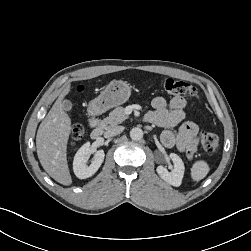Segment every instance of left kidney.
<instances>
[{"label":"left kidney","mask_w":251,"mask_h":251,"mask_svg":"<svg viewBox=\"0 0 251 251\" xmlns=\"http://www.w3.org/2000/svg\"><path fill=\"white\" fill-rule=\"evenodd\" d=\"M170 158L174 164V168L171 172H169L161 165L157 167L156 171L165 182L169 183L172 186L179 187L182 183L184 175V163L182 159L175 153H171Z\"/></svg>","instance_id":"5707ae66"}]
</instances>
